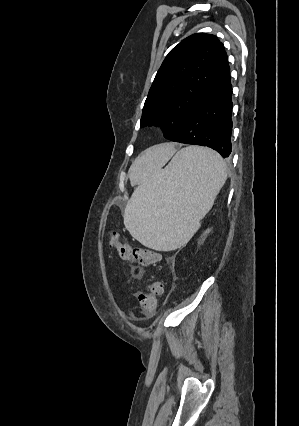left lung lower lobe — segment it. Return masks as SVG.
I'll return each instance as SVG.
<instances>
[{"label": "left lung lower lobe", "instance_id": "left-lung-lower-lobe-1", "mask_svg": "<svg viewBox=\"0 0 299 426\" xmlns=\"http://www.w3.org/2000/svg\"><path fill=\"white\" fill-rule=\"evenodd\" d=\"M232 86L230 73L188 118L172 141L208 146L224 158L231 153Z\"/></svg>", "mask_w": 299, "mask_h": 426}]
</instances>
